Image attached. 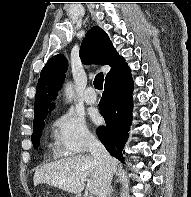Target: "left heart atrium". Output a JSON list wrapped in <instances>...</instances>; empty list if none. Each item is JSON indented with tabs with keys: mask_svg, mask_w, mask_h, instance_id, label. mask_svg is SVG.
<instances>
[{
	"mask_svg": "<svg viewBox=\"0 0 191 197\" xmlns=\"http://www.w3.org/2000/svg\"><path fill=\"white\" fill-rule=\"evenodd\" d=\"M92 119H93V121H94L95 123H99V122H100V116H99V114H98L97 112H94V113L92 114Z\"/></svg>",
	"mask_w": 191,
	"mask_h": 197,
	"instance_id": "left-heart-atrium-1",
	"label": "left heart atrium"
}]
</instances>
